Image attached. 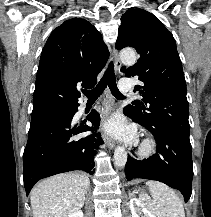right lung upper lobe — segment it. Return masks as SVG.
Segmentation results:
<instances>
[{"label": "right lung upper lobe", "instance_id": "right-lung-upper-lobe-1", "mask_svg": "<svg viewBox=\"0 0 211 217\" xmlns=\"http://www.w3.org/2000/svg\"><path fill=\"white\" fill-rule=\"evenodd\" d=\"M108 57L102 35L85 19L55 28L41 53L31 120L79 106V87L96 84Z\"/></svg>", "mask_w": 211, "mask_h": 217}]
</instances>
